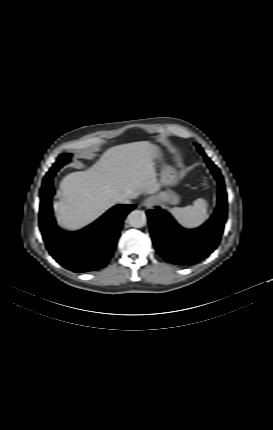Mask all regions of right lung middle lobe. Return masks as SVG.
Here are the masks:
<instances>
[{
	"mask_svg": "<svg viewBox=\"0 0 273 430\" xmlns=\"http://www.w3.org/2000/svg\"><path fill=\"white\" fill-rule=\"evenodd\" d=\"M71 157V154H61L56 163L52 166V168L49 170V172L47 173V175L49 173L51 174H55L64 164H66L69 161V158ZM46 175V177H47ZM45 177V178H46Z\"/></svg>",
	"mask_w": 273,
	"mask_h": 430,
	"instance_id": "obj_1",
	"label": "right lung middle lobe"
}]
</instances>
